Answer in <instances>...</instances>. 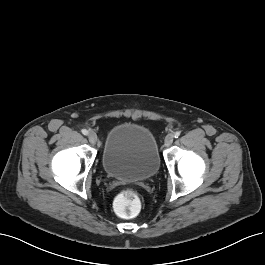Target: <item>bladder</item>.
<instances>
[{
	"mask_svg": "<svg viewBox=\"0 0 265 265\" xmlns=\"http://www.w3.org/2000/svg\"><path fill=\"white\" fill-rule=\"evenodd\" d=\"M102 165L105 173L124 181H145L160 167V155L154 133L135 122H123L107 133Z\"/></svg>",
	"mask_w": 265,
	"mask_h": 265,
	"instance_id": "1",
	"label": "bladder"
}]
</instances>
